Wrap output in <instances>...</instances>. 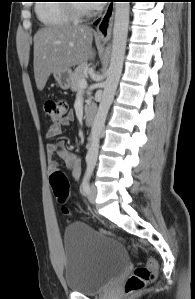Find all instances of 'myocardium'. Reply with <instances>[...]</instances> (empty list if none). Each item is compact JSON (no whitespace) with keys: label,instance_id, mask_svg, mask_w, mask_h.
<instances>
[{"label":"myocardium","instance_id":"1","mask_svg":"<svg viewBox=\"0 0 195 299\" xmlns=\"http://www.w3.org/2000/svg\"><path fill=\"white\" fill-rule=\"evenodd\" d=\"M68 9L75 20L87 18L92 14L91 6L85 7L82 3H71L68 5Z\"/></svg>","mask_w":195,"mask_h":299}]
</instances>
